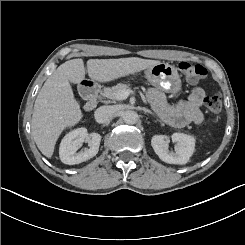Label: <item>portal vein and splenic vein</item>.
I'll use <instances>...</instances> for the list:
<instances>
[{
    "mask_svg": "<svg viewBox=\"0 0 245 245\" xmlns=\"http://www.w3.org/2000/svg\"><path fill=\"white\" fill-rule=\"evenodd\" d=\"M128 95H129V91L125 90V89L120 90L119 93H118V97L120 99H126L128 97Z\"/></svg>",
    "mask_w": 245,
    "mask_h": 245,
    "instance_id": "portal-vein-and-splenic-vein-1",
    "label": "portal vein and splenic vein"
}]
</instances>
